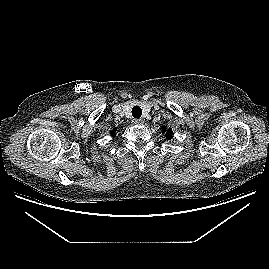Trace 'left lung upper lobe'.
<instances>
[{"label": "left lung upper lobe", "instance_id": "1", "mask_svg": "<svg viewBox=\"0 0 269 269\" xmlns=\"http://www.w3.org/2000/svg\"><path fill=\"white\" fill-rule=\"evenodd\" d=\"M163 133H165V135L167 136V139H171L172 138V131L171 129H167L166 127H163Z\"/></svg>", "mask_w": 269, "mask_h": 269}]
</instances>
